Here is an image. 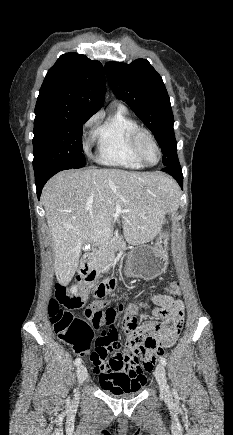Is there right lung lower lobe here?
<instances>
[{"label":"right lung lower lobe","instance_id":"right-lung-lower-lobe-1","mask_svg":"<svg viewBox=\"0 0 233 435\" xmlns=\"http://www.w3.org/2000/svg\"><path fill=\"white\" fill-rule=\"evenodd\" d=\"M69 169L67 166L64 165H53L50 167L41 168L35 171V184L37 189V196L40 198L42 188L45 185V183L56 173L62 170Z\"/></svg>","mask_w":233,"mask_h":435}]
</instances>
